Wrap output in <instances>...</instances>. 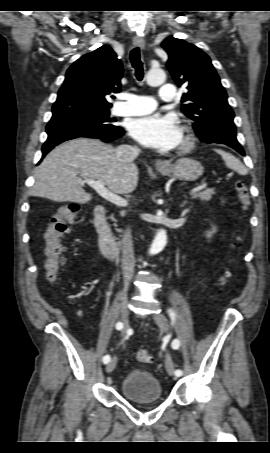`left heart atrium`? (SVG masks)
I'll list each match as a JSON object with an SVG mask.
<instances>
[{
	"label": "left heart atrium",
	"mask_w": 270,
	"mask_h": 453,
	"mask_svg": "<svg viewBox=\"0 0 270 453\" xmlns=\"http://www.w3.org/2000/svg\"><path fill=\"white\" fill-rule=\"evenodd\" d=\"M130 135L144 146L166 151L177 147L183 132L173 115H149L133 119L128 126Z\"/></svg>",
	"instance_id": "39dd6f15"
}]
</instances>
